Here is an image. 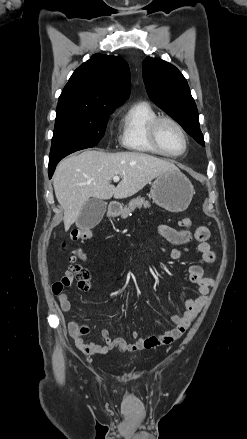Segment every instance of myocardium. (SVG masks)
<instances>
[{"instance_id": "obj_1", "label": "myocardium", "mask_w": 247, "mask_h": 439, "mask_svg": "<svg viewBox=\"0 0 247 439\" xmlns=\"http://www.w3.org/2000/svg\"><path fill=\"white\" fill-rule=\"evenodd\" d=\"M163 122H168L171 123L174 127L177 128V130L180 132L183 141H184V147L182 149L181 152L176 153V154H172V153H168L166 152L160 145L159 140H158V129L159 126L163 123ZM149 140L152 144V146L156 149V151L166 157L169 158H178L180 156H182L188 149V136L184 130V128L182 127V125L175 120L174 118L170 117V116H158L157 118H155L150 126H149Z\"/></svg>"}]
</instances>
